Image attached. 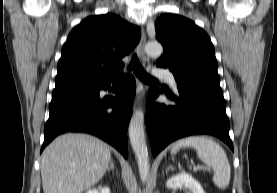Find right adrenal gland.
Returning <instances> with one entry per match:
<instances>
[{"label": "right adrenal gland", "instance_id": "right-adrenal-gland-1", "mask_svg": "<svg viewBox=\"0 0 277 193\" xmlns=\"http://www.w3.org/2000/svg\"><path fill=\"white\" fill-rule=\"evenodd\" d=\"M107 170H108V171L114 170V163H113V160H111V162H110V167H109Z\"/></svg>", "mask_w": 277, "mask_h": 193}]
</instances>
